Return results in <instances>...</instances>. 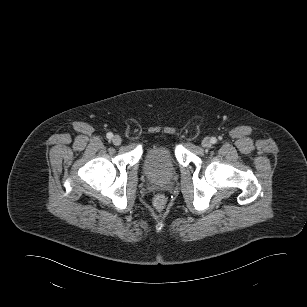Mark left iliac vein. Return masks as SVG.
Wrapping results in <instances>:
<instances>
[{
    "mask_svg": "<svg viewBox=\"0 0 307 307\" xmlns=\"http://www.w3.org/2000/svg\"><path fill=\"white\" fill-rule=\"evenodd\" d=\"M211 145V141L209 138H204L203 141H202V146L207 148Z\"/></svg>",
    "mask_w": 307,
    "mask_h": 307,
    "instance_id": "left-iliac-vein-1",
    "label": "left iliac vein"
}]
</instances>
